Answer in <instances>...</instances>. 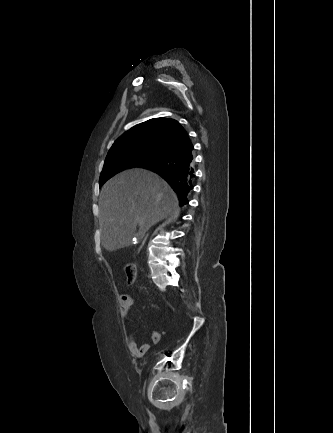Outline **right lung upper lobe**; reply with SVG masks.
Returning a JSON list of instances; mask_svg holds the SVG:
<instances>
[{
    "instance_id": "1",
    "label": "right lung upper lobe",
    "mask_w": 333,
    "mask_h": 433,
    "mask_svg": "<svg viewBox=\"0 0 333 433\" xmlns=\"http://www.w3.org/2000/svg\"><path fill=\"white\" fill-rule=\"evenodd\" d=\"M191 143L182 125L168 118H153L125 132L112 145L110 151L125 147L160 148L169 154Z\"/></svg>"
}]
</instances>
